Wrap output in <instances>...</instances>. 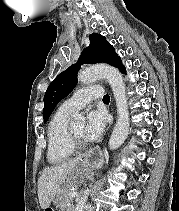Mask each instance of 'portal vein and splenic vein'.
Masks as SVG:
<instances>
[{
    "mask_svg": "<svg viewBox=\"0 0 179 211\" xmlns=\"http://www.w3.org/2000/svg\"><path fill=\"white\" fill-rule=\"evenodd\" d=\"M70 197H77L78 193L77 192H69Z\"/></svg>",
    "mask_w": 179,
    "mask_h": 211,
    "instance_id": "portal-vein-and-splenic-vein-1",
    "label": "portal vein and splenic vein"
}]
</instances>
